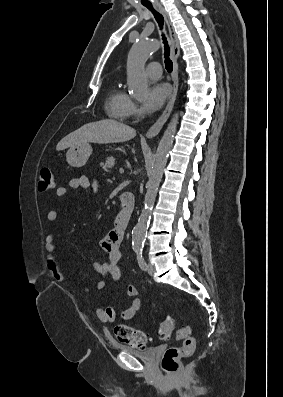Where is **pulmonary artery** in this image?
<instances>
[{"label":"pulmonary artery","instance_id":"1","mask_svg":"<svg viewBox=\"0 0 283 397\" xmlns=\"http://www.w3.org/2000/svg\"><path fill=\"white\" fill-rule=\"evenodd\" d=\"M146 72L150 78L158 79L161 76L162 69L158 62H152L147 66Z\"/></svg>","mask_w":283,"mask_h":397}]
</instances>
